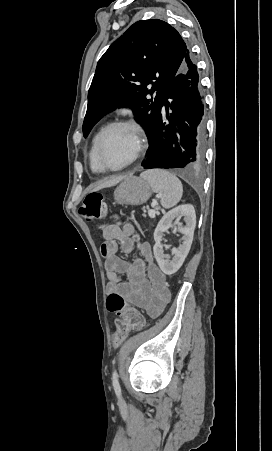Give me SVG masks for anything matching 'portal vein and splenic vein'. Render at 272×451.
<instances>
[{
	"mask_svg": "<svg viewBox=\"0 0 272 451\" xmlns=\"http://www.w3.org/2000/svg\"><path fill=\"white\" fill-rule=\"evenodd\" d=\"M157 198H161V194H158ZM150 218H155V210H148Z\"/></svg>",
	"mask_w": 272,
	"mask_h": 451,
	"instance_id": "18ae733b",
	"label": "portal vein and splenic vein"
}]
</instances>
